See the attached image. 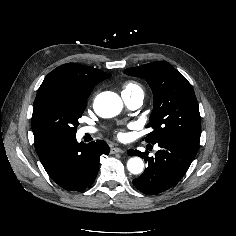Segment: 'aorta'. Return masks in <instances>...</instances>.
<instances>
[{"label":"aorta","instance_id":"762f6f07","mask_svg":"<svg viewBox=\"0 0 236 236\" xmlns=\"http://www.w3.org/2000/svg\"><path fill=\"white\" fill-rule=\"evenodd\" d=\"M122 108L123 102L114 92H102L94 100L95 112L104 118H111L118 115ZM127 168L130 173L139 174L143 171L144 163L140 157H132L127 162Z\"/></svg>","mask_w":236,"mask_h":236}]
</instances>
